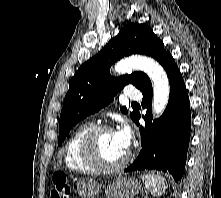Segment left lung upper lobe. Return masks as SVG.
<instances>
[{
  "instance_id": "left-lung-upper-lobe-1",
  "label": "left lung upper lobe",
  "mask_w": 221,
  "mask_h": 198,
  "mask_svg": "<svg viewBox=\"0 0 221 198\" xmlns=\"http://www.w3.org/2000/svg\"><path fill=\"white\" fill-rule=\"evenodd\" d=\"M132 54H144L156 59L161 65L169 51L145 24L129 23L112 38L93 58L85 62L71 78L60 114L58 146L62 144L71 128L86 116L99 111L113 101L122 88L131 83L142 89L150 82L143 72H134L114 78L109 70L113 63ZM121 111L127 114L126 107ZM137 111L130 113L134 121Z\"/></svg>"
}]
</instances>
